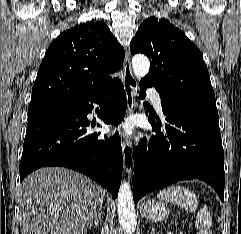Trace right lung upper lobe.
<instances>
[{"label": "right lung upper lobe", "mask_w": 241, "mask_h": 234, "mask_svg": "<svg viewBox=\"0 0 241 234\" xmlns=\"http://www.w3.org/2000/svg\"><path fill=\"white\" fill-rule=\"evenodd\" d=\"M124 50L102 21L83 23L53 41L38 69L29 105L69 104L98 93L114 80Z\"/></svg>", "instance_id": "1"}]
</instances>
